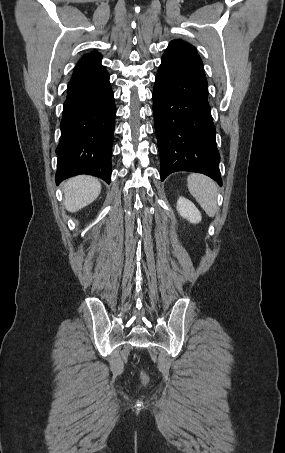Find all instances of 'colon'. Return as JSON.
Segmentation results:
<instances>
[{"instance_id": "obj_1", "label": "colon", "mask_w": 285, "mask_h": 453, "mask_svg": "<svg viewBox=\"0 0 285 453\" xmlns=\"http://www.w3.org/2000/svg\"><path fill=\"white\" fill-rule=\"evenodd\" d=\"M141 380L143 383H146L147 382V376L144 374V373H141Z\"/></svg>"}]
</instances>
